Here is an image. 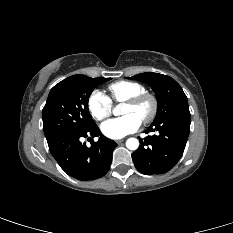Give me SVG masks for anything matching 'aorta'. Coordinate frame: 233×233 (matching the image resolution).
<instances>
[{
  "label": "aorta",
  "instance_id": "obj_1",
  "mask_svg": "<svg viewBox=\"0 0 233 233\" xmlns=\"http://www.w3.org/2000/svg\"><path fill=\"white\" fill-rule=\"evenodd\" d=\"M113 114L114 115H119L120 114V111H119L118 107H116V108L113 109ZM126 147L129 150H137L138 147H139V141H138V139H136V138H129V139H127V141H126Z\"/></svg>",
  "mask_w": 233,
  "mask_h": 233
}]
</instances>
